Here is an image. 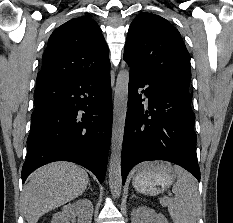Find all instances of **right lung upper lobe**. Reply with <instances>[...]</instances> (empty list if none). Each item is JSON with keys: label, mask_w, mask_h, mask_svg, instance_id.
I'll use <instances>...</instances> for the list:
<instances>
[{"label": "right lung upper lobe", "mask_w": 233, "mask_h": 223, "mask_svg": "<svg viewBox=\"0 0 233 223\" xmlns=\"http://www.w3.org/2000/svg\"><path fill=\"white\" fill-rule=\"evenodd\" d=\"M108 67V47L99 25L91 18H74L51 34L37 86L92 75Z\"/></svg>", "instance_id": "right-lung-upper-lobe-1"}]
</instances>
